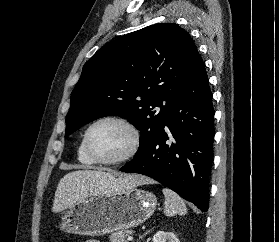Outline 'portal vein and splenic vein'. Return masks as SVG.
Returning a JSON list of instances; mask_svg holds the SVG:
<instances>
[{
  "mask_svg": "<svg viewBox=\"0 0 279 242\" xmlns=\"http://www.w3.org/2000/svg\"><path fill=\"white\" fill-rule=\"evenodd\" d=\"M129 241H132L133 240V237L132 236H128L127 238Z\"/></svg>",
  "mask_w": 279,
  "mask_h": 242,
  "instance_id": "portal-vein-and-splenic-vein-1",
  "label": "portal vein and splenic vein"
}]
</instances>
